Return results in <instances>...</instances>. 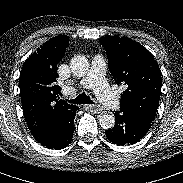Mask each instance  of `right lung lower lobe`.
Listing matches in <instances>:
<instances>
[{
    "label": "right lung lower lobe",
    "instance_id": "98d812e1",
    "mask_svg": "<svg viewBox=\"0 0 183 183\" xmlns=\"http://www.w3.org/2000/svg\"><path fill=\"white\" fill-rule=\"evenodd\" d=\"M74 118L75 116L69 121L39 119L30 130L35 140L41 145L49 149H62L68 146L72 140Z\"/></svg>",
    "mask_w": 183,
    "mask_h": 183
}]
</instances>
